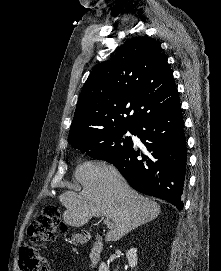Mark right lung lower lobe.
<instances>
[{"label": "right lung lower lobe", "mask_w": 221, "mask_h": 271, "mask_svg": "<svg viewBox=\"0 0 221 271\" xmlns=\"http://www.w3.org/2000/svg\"><path fill=\"white\" fill-rule=\"evenodd\" d=\"M134 135L149 153L143 155L132 146L112 164L133 189L182 210L187 150L180 103L143 119Z\"/></svg>", "instance_id": "right-lung-lower-lobe-1"}]
</instances>
